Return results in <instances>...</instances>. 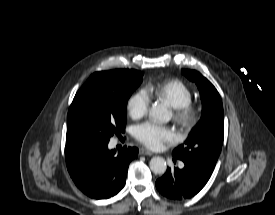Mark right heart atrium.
<instances>
[{"label": "right heart atrium", "mask_w": 275, "mask_h": 215, "mask_svg": "<svg viewBox=\"0 0 275 215\" xmlns=\"http://www.w3.org/2000/svg\"><path fill=\"white\" fill-rule=\"evenodd\" d=\"M150 105V98L146 91L138 90L127 101V111L131 118L139 119L145 116Z\"/></svg>", "instance_id": "right-heart-atrium-1"}]
</instances>
